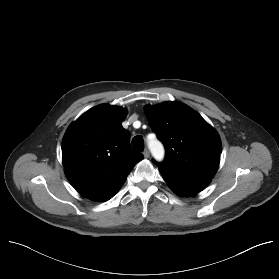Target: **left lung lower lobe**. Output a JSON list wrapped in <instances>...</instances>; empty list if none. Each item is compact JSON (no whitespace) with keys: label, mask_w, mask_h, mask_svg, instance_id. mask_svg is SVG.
<instances>
[{"label":"left lung lower lobe","mask_w":279,"mask_h":279,"mask_svg":"<svg viewBox=\"0 0 279 279\" xmlns=\"http://www.w3.org/2000/svg\"><path fill=\"white\" fill-rule=\"evenodd\" d=\"M158 168L166 183L176 194L180 196L195 195L203 190L210 183V181L208 180L188 178L170 172L166 169L160 167Z\"/></svg>","instance_id":"obj_1"}]
</instances>
